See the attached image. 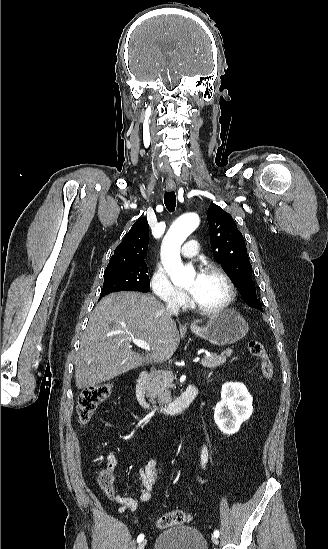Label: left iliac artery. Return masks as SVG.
I'll return each instance as SVG.
<instances>
[{
    "mask_svg": "<svg viewBox=\"0 0 328 549\" xmlns=\"http://www.w3.org/2000/svg\"><path fill=\"white\" fill-rule=\"evenodd\" d=\"M214 536L219 537V531L218 530L214 531Z\"/></svg>",
    "mask_w": 328,
    "mask_h": 549,
    "instance_id": "obj_1",
    "label": "left iliac artery"
}]
</instances>
